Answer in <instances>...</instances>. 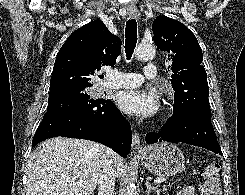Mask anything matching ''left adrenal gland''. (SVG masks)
I'll list each match as a JSON object with an SVG mask.
<instances>
[{
	"label": "left adrenal gland",
	"mask_w": 245,
	"mask_h": 195,
	"mask_svg": "<svg viewBox=\"0 0 245 195\" xmlns=\"http://www.w3.org/2000/svg\"><path fill=\"white\" fill-rule=\"evenodd\" d=\"M145 185H146V191H145V193H146L147 195H150V193H151L152 191H155V192L157 193V195H159L160 189L158 188V186H152V185L149 183L148 180H146Z\"/></svg>",
	"instance_id": "a2214340"
}]
</instances>
